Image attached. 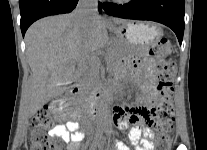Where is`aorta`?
Here are the masks:
<instances>
[{
	"mask_svg": "<svg viewBox=\"0 0 207 150\" xmlns=\"http://www.w3.org/2000/svg\"><path fill=\"white\" fill-rule=\"evenodd\" d=\"M105 104H104V100H101V106H104Z\"/></svg>",
	"mask_w": 207,
	"mask_h": 150,
	"instance_id": "1",
	"label": "aorta"
}]
</instances>
